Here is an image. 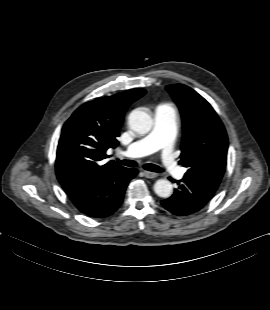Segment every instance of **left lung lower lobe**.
Listing matches in <instances>:
<instances>
[{"mask_svg":"<svg viewBox=\"0 0 270 310\" xmlns=\"http://www.w3.org/2000/svg\"><path fill=\"white\" fill-rule=\"evenodd\" d=\"M177 182L178 188L174 194L161 201L162 205L171 213L186 216L200 211L210 201L217 191L220 181L198 178L186 175Z\"/></svg>","mask_w":270,"mask_h":310,"instance_id":"0a47b994","label":"left lung lower lobe"}]
</instances>
